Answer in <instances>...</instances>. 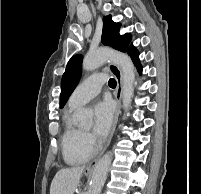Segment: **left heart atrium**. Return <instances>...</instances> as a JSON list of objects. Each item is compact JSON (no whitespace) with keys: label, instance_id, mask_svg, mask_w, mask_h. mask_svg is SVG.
<instances>
[{"label":"left heart atrium","instance_id":"obj_1","mask_svg":"<svg viewBox=\"0 0 201 194\" xmlns=\"http://www.w3.org/2000/svg\"><path fill=\"white\" fill-rule=\"evenodd\" d=\"M114 118V105L108 100L99 101L94 106L93 132L97 137H104L109 132Z\"/></svg>","mask_w":201,"mask_h":194}]
</instances>
